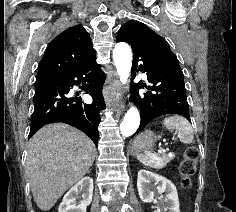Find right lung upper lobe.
Masks as SVG:
<instances>
[{
	"mask_svg": "<svg viewBox=\"0 0 236 212\" xmlns=\"http://www.w3.org/2000/svg\"><path fill=\"white\" fill-rule=\"evenodd\" d=\"M96 57L91 39L83 26H72L48 45L36 77L68 74Z\"/></svg>",
	"mask_w": 236,
	"mask_h": 212,
	"instance_id": "1",
	"label": "right lung upper lobe"
}]
</instances>
